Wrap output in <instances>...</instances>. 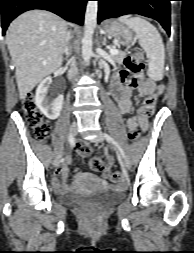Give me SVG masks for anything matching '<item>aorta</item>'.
<instances>
[{
	"label": "aorta",
	"mask_w": 194,
	"mask_h": 253,
	"mask_svg": "<svg viewBox=\"0 0 194 253\" xmlns=\"http://www.w3.org/2000/svg\"><path fill=\"white\" fill-rule=\"evenodd\" d=\"M98 2L88 1L85 11V29L82 38V57L85 62H89L92 57V40L94 29L97 25Z\"/></svg>",
	"instance_id": "762f6f07"
}]
</instances>
